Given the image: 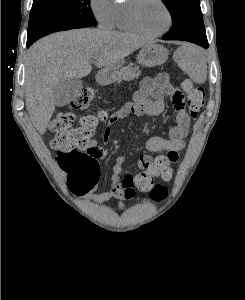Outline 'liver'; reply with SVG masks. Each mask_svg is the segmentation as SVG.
Segmentation results:
<instances>
[{
  "label": "liver",
  "instance_id": "6515ba94",
  "mask_svg": "<svg viewBox=\"0 0 245 300\" xmlns=\"http://www.w3.org/2000/svg\"><path fill=\"white\" fill-rule=\"evenodd\" d=\"M151 44L145 37L103 29L57 32L35 42L29 49L25 100L31 121L43 135L54 113L55 85L62 79L83 78L98 68L122 61Z\"/></svg>",
  "mask_w": 245,
  "mask_h": 300
}]
</instances>
